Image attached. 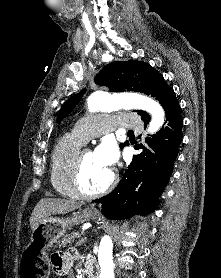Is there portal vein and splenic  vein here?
Returning a JSON list of instances; mask_svg holds the SVG:
<instances>
[{
	"instance_id": "18ae733b",
	"label": "portal vein and splenic vein",
	"mask_w": 221,
	"mask_h": 278,
	"mask_svg": "<svg viewBox=\"0 0 221 278\" xmlns=\"http://www.w3.org/2000/svg\"><path fill=\"white\" fill-rule=\"evenodd\" d=\"M86 239H87L86 237L81 238V240L79 241V243H80V244L84 243V242L86 241Z\"/></svg>"
}]
</instances>
